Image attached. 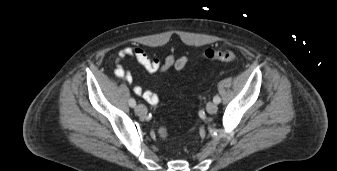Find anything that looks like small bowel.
<instances>
[{"mask_svg": "<svg viewBox=\"0 0 337 171\" xmlns=\"http://www.w3.org/2000/svg\"><path fill=\"white\" fill-rule=\"evenodd\" d=\"M129 58L135 59L147 72L153 74H162L171 68L175 71H181L190 60L188 56L176 58L174 54H169L165 57L164 61L161 62L159 58L150 56L140 47H125L118 53L114 74L118 79L124 80L127 83L133 82L132 73L123 65V61ZM134 92L151 104L158 102V95L152 90L143 89L141 86L137 85L134 88Z\"/></svg>", "mask_w": 337, "mask_h": 171, "instance_id": "c3829d8e", "label": "small bowel"}]
</instances>
